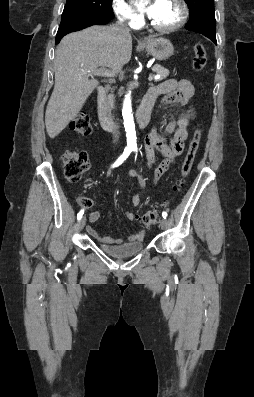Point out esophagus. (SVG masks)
<instances>
[{"instance_id": "obj_1", "label": "esophagus", "mask_w": 254, "mask_h": 397, "mask_svg": "<svg viewBox=\"0 0 254 397\" xmlns=\"http://www.w3.org/2000/svg\"><path fill=\"white\" fill-rule=\"evenodd\" d=\"M142 40H143V41H146V40H147V38H146V37H144V38H142Z\"/></svg>"}]
</instances>
